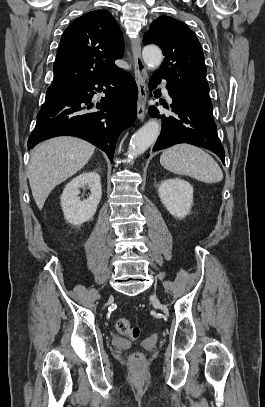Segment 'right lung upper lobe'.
<instances>
[{
  "label": "right lung upper lobe",
  "instance_id": "1",
  "mask_svg": "<svg viewBox=\"0 0 265 407\" xmlns=\"http://www.w3.org/2000/svg\"><path fill=\"white\" fill-rule=\"evenodd\" d=\"M124 54L123 34L105 10L88 12L64 31L54 65V85L78 86L96 76L119 68L116 59Z\"/></svg>",
  "mask_w": 265,
  "mask_h": 407
}]
</instances>
